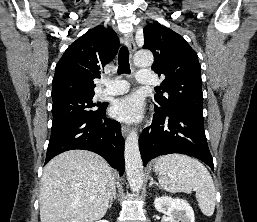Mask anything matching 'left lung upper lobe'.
<instances>
[{"mask_svg": "<svg viewBox=\"0 0 257 222\" xmlns=\"http://www.w3.org/2000/svg\"><path fill=\"white\" fill-rule=\"evenodd\" d=\"M143 32V48L154 54L152 70L165 76L160 89L167 95H155V108L165 113H203L201 67L196 52L181 35L158 22L149 23Z\"/></svg>", "mask_w": 257, "mask_h": 222, "instance_id": "left-lung-upper-lobe-1", "label": "left lung upper lobe"}]
</instances>
